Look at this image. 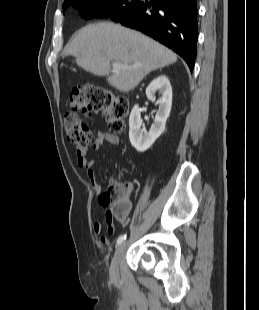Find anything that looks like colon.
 Wrapping results in <instances>:
<instances>
[{"mask_svg": "<svg viewBox=\"0 0 259 310\" xmlns=\"http://www.w3.org/2000/svg\"><path fill=\"white\" fill-rule=\"evenodd\" d=\"M129 108L128 100L112 90L95 84L75 87L70 93L69 109L64 117L68 139L78 147H85L94 141L93 135L79 114H102L111 133L123 129V118ZM130 194L126 185L113 184L99 196V203L105 214L123 217L129 203Z\"/></svg>", "mask_w": 259, "mask_h": 310, "instance_id": "1", "label": "colon"}]
</instances>
